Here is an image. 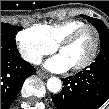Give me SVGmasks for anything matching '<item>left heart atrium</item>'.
<instances>
[{"instance_id": "39dd6f15", "label": "left heart atrium", "mask_w": 109, "mask_h": 109, "mask_svg": "<svg viewBox=\"0 0 109 109\" xmlns=\"http://www.w3.org/2000/svg\"><path fill=\"white\" fill-rule=\"evenodd\" d=\"M46 69L52 72H64L68 70L71 66L67 62V60L63 57V55L59 54L52 58H50L45 63Z\"/></svg>"}]
</instances>
